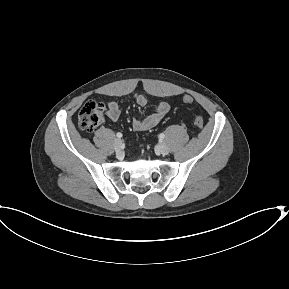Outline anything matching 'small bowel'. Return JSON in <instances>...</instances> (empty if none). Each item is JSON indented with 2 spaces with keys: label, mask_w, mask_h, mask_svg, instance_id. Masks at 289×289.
Returning a JSON list of instances; mask_svg holds the SVG:
<instances>
[{
  "label": "small bowel",
  "mask_w": 289,
  "mask_h": 289,
  "mask_svg": "<svg viewBox=\"0 0 289 289\" xmlns=\"http://www.w3.org/2000/svg\"><path fill=\"white\" fill-rule=\"evenodd\" d=\"M132 101L140 106L147 104V99L144 95L136 94L132 97ZM169 110V105L166 102H160L155 106L154 112L142 119H133L132 127L137 132L147 131L155 127L166 115ZM120 105L117 102H109L107 105V117L115 122L120 116Z\"/></svg>",
  "instance_id": "small-bowel-1"
}]
</instances>
